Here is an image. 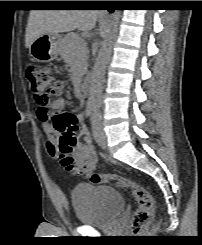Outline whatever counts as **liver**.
Wrapping results in <instances>:
<instances>
[{
  "instance_id": "liver-1",
  "label": "liver",
  "mask_w": 202,
  "mask_h": 245,
  "mask_svg": "<svg viewBox=\"0 0 202 245\" xmlns=\"http://www.w3.org/2000/svg\"><path fill=\"white\" fill-rule=\"evenodd\" d=\"M96 10H31L28 18L25 46L43 34H58L78 29L92 30L97 22Z\"/></svg>"
}]
</instances>
